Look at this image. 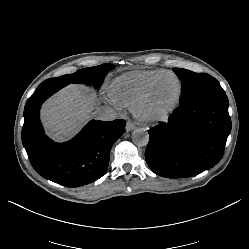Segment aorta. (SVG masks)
I'll list each match as a JSON object with an SVG mask.
<instances>
[{
	"mask_svg": "<svg viewBox=\"0 0 249 249\" xmlns=\"http://www.w3.org/2000/svg\"><path fill=\"white\" fill-rule=\"evenodd\" d=\"M132 141L139 147L147 146L149 142V135L146 130L136 129L132 132Z\"/></svg>",
	"mask_w": 249,
	"mask_h": 249,
	"instance_id": "762f6f07",
	"label": "aorta"
}]
</instances>
